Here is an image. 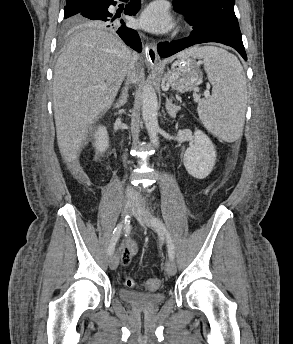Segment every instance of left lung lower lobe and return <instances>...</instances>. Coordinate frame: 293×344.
Wrapping results in <instances>:
<instances>
[{
    "label": "left lung lower lobe",
    "instance_id": "obj_1",
    "mask_svg": "<svg viewBox=\"0 0 293 344\" xmlns=\"http://www.w3.org/2000/svg\"><path fill=\"white\" fill-rule=\"evenodd\" d=\"M174 10L185 15L187 17V22L193 26L194 30L186 38L172 42L159 43L158 53L161 58H167L195 44L217 42L234 48L244 58V60H247L242 37L237 36L220 26L202 23L195 17L179 10L175 6Z\"/></svg>",
    "mask_w": 293,
    "mask_h": 344
}]
</instances>
